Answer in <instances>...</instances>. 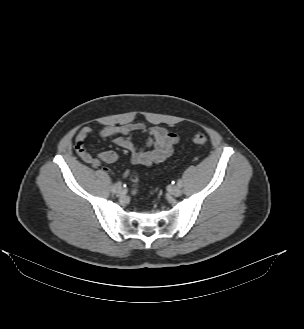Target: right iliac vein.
I'll return each mask as SVG.
<instances>
[{
	"mask_svg": "<svg viewBox=\"0 0 304 329\" xmlns=\"http://www.w3.org/2000/svg\"><path fill=\"white\" fill-rule=\"evenodd\" d=\"M122 191V185L120 183L116 184V193H120Z\"/></svg>",
	"mask_w": 304,
	"mask_h": 329,
	"instance_id": "right-iliac-vein-1",
	"label": "right iliac vein"
}]
</instances>
